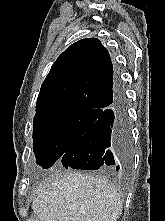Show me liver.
<instances>
[{
  "mask_svg": "<svg viewBox=\"0 0 165 221\" xmlns=\"http://www.w3.org/2000/svg\"><path fill=\"white\" fill-rule=\"evenodd\" d=\"M122 204L106 178L62 171L40 188L32 210L40 221H117Z\"/></svg>",
  "mask_w": 165,
  "mask_h": 221,
  "instance_id": "6515ba94",
  "label": "liver"
}]
</instances>
